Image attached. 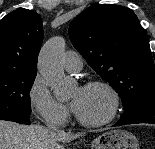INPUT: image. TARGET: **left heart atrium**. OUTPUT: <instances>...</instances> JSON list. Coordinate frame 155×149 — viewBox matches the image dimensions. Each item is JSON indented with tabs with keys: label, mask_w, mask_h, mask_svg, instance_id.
Wrapping results in <instances>:
<instances>
[{
	"label": "left heart atrium",
	"mask_w": 155,
	"mask_h": 149,
	"mask_svg": "<svg viewBox=\"0 0 155 149\" xmlns=\"http://www.w3.org/2000/svg\"><path fill=\"white\" fill-rule=\"evenodd\" d=\"M78 107H79V98H76V99L73 100V102H72V108H73V110L76 112L77 109H78Z\"/></svg>",
	"instance_id": "1"
}]
</instances>
